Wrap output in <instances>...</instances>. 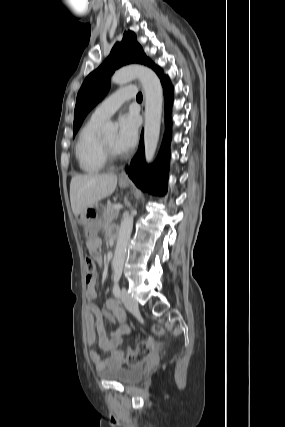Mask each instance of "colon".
I'll list each match as a JSON object with an SVG mask.
<instances>
[{"label": "colon", "instance_id": "obj_1", "mask_svg": "<svg viewBox=\"0 0 285 427\" xmlns=\"http://www.w3.org/2000/svg\"><path fill=\"white\" fill-rule=\"evenodd\" d=\"M86 268V282L90 283L96 274V264L90 257L85 259ZM154 334L159 335L162 333V329L159 326L152 328ZM155 351V343L153 340H145L137 344L135 349L129 350L126 355V364L128 366H134L149 358Z\"/></svg>", "mask_w": 285, "mask_h": 427}]
</instances>
